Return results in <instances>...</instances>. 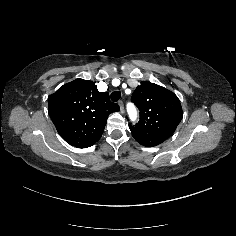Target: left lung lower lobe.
<instances>
[{"label": "left lung lower lobe", "mask_w": 236, "mask_h": 236, "mask_svg": "<svg viewBox=\"0 0 236 236\" xmlns=\"http://www.w3.org/2000/svg\"><path fill=\"white\" fill-rule=\"evenodd\" d=\"M137 142H139L141 145L146 146V147H151V146H156L163 141H158V140H147V139H139L137 137H134Z\"/></svg>", "instance_id": "0a47b994"}]
</instances>
